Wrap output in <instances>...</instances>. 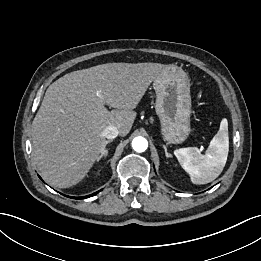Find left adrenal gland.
Segmentation results:
<instances>
[{"mask_svg":"<svg viewBox=\"0 0 261 261\" xmlns=\"http://www.w3.org/2000/svg\"><path fill=\"white\" fill-rule=\"evenodd\" d=\"M163 148H164V150H165V154H166V156H167V157H171V155L167 152V148H166L165 145H163Z\"/></svg>","mask_w":261,"mask_h":261,"instance_id":"a2214340","label":"left adrenal gland"}]
</instances>
